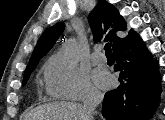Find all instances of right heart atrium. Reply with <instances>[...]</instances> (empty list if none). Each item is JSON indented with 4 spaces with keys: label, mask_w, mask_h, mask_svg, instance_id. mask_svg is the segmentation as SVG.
<instances>
[{
    "label": "right heart atrium",
    "mask_w": 165,
    "mask_h": 120,
    "mask_svg": "<svg viewBox=\"0 0 165 120\" xmlns=\"http://www.w3.org/2000/svg\"><path fill=\"white\" fill-rule=\"evenodd\" d=\"M45 87L54 98L89 101L100 96L88 73L68 63L61 54L52 56L45 69Z\"/></svg>",
    "instance_id": "d8ad5b80"
}]
</instances>
